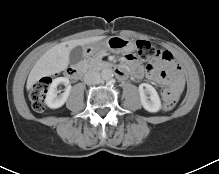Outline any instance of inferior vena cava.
<instances>
[{
	"instance_id": "1",
	"label": "inferior vena cava",
	"mask_w": 219,
	"mask_h": 174,
	"mask_svg": "<svg viewBox=\"0 0 219 174\" xmlns=\"http://www.w3.org/2000/svg\"><path fill=\"white\" fill-rule=\"evenodd\" d=\"M84 81L86 84H98L101 81V75L99 72L90 70L84 76Z\"/></svg>"
}]
</instances>
